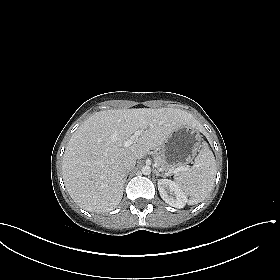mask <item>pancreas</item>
<instances>
[{"mask_svg":"<svg viewBox=\"0 0 280 280\" xmlns=\"http://www.w3.org/2000/svg\"><path fill=\"white\" fill-rule=\"evenodd\" d=\"M154 162L157 166V168L162 172H170L172 171V168H170L167 163L163 160L160 152L155 151L154 152Z\"/></svg>","mask_w":280,"mask_h":280,"instance_id":"cf45deb5","label":"pancreas"}]
</instances>
